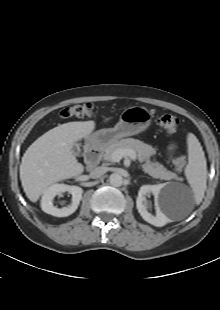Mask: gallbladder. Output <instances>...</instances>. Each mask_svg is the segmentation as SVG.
I'll list each match as a JSON object with an SVG mask.
<instances>
[{
  "instance_id": "bac80fb5",
  "label": "gallbladder",
  "mask_w": 220,
  "mask_h": 310,
  "mask_svg": "<svg viewBox=\"0 0 220 310\" xmlns=\"http://www.w3.org/2000/svg\"><path fill=\"white\" fill-rule=\"evenodd\" d=\"M72 152L75 156H80L81 154V149L77 143H75L72 147Z\"/></svg>"
}]
</instances>
